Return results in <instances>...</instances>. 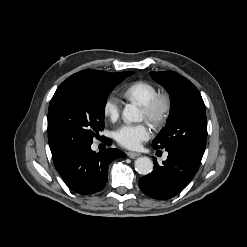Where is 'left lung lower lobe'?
<instances>
[{
	"mask_svg": "<svg viewBox=\"0 0 247 247\" xmlns=\"http://www.w3.org/2000/svg\"><path fill=\"white\" fill-rule=\"evenodd\" d=\"M168 153L162 166L154 158V171L139 180L141 191L155 199H168L180 192L192 180L202 159L186 151Z\"/></svg>",
	"mask_w": 247,
	"mask_h": 247,
	"instance_id": "1",
	"label": "left lung lower lobe"
}]
</instances>
